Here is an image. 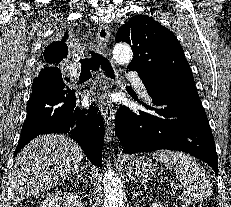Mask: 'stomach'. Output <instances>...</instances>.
<instances>
[{
	"instance_id": "1",
	"label": "stomach",
	"mask_w": 231,
	"mask_h": 207,
	"mask_svg": "<svg viewBox=\"0 0 231 207\" xmlns=\"http://www.w3.org/2000/svg\"><path fill=\"white\" fill-rule=\"evenodd\" d=\"M126 171L132 180L146 183L155 178L157 165L146 156L133 157L127 161Z\"/></svg>"
}]
</instances>
